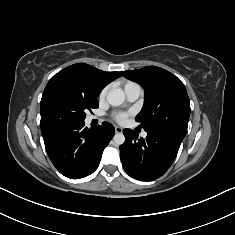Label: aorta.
<instances>
[{"label":"aorta","mask_w":235,"mask_h":235,"mask_svg":"<svg viewBox=\"0 0 235 235\" xmlns=\"http://www.w3.org/2000/svg\"><path fill=\"white\" fill-rule=\"evenodd\" d=\"M125 100L124 92L120 89H112L107 94V101L112 106H119ZM114 143L122 145L125 141V137L122 133H117L113 137Z\"/></svg>","instance_id":"762f6f07"}]
</instances>
